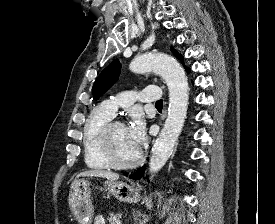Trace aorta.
Returning a JSON list of instances; mask_svg holds the SVG:
<instances>
[{"label":"aorta","instance_id":"obj_1","mask_svg":"<svg viewBox=\"0 0 275 224\" xmlns=\"http://www.w3.org/2000/svg\"><path fill=\"white\" fill-rule=\"evenodd\" d=\"M133 72L154 71L161 75L169 90L168 116L157 137L150 157V172H158L169 159L186 119L189 86L184 69L172 57L162 54L137 56L130 64Z\"/></svg>","mask_w":275,"mask_h":224}]
</instances>
